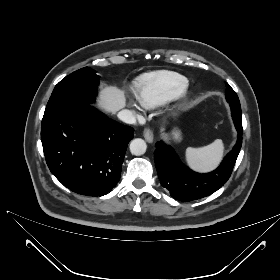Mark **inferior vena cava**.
Masks as SVG:
<instances>
[{
	"instance_id": "1",
	"label": "inferior vena cava",
	"mask_w": 280,
	"mask_h": 280,
	"mask_svg": "<svg viewBox=\"0 0 280 280\" xmlns=\"http://www.w3.org/2000/svg\"><path fill=\"white\" fill-rule=\"evenodd\" d=\"M117 116L121 121H123L127 124L136 123V117H135L134 113L130 110H121Z\"/></svg>"
}]
</instances>
